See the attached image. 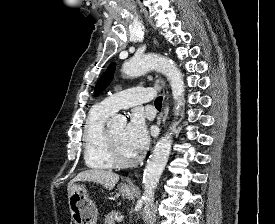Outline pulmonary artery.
Masks as SVG:
<instances>
[{"mask_svg":"<svg viewBox=\"0 0 275 224\" xmlns=\"http://www.w3.org/2000/svg\"><path fill=\"white\" fill-rule=\"evenodd\" d=\"M155 96L152 88L132 87L113 93L100 102V106L109 113L120 108H130L151 101Z\"/></svg>","mask_w":275,"mask_h":224,"instance_id":"e3ab8cb5","label":"pulmonary artery"}]
</instances>
